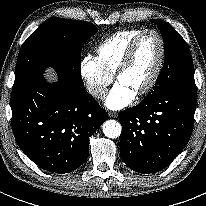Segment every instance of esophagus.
I'll use <instances>...</instances> for the list:
<instances>
[{
    "label": "esophagus",
    "mask_w": 206,
    "mask_h": 206,
    "mask_svg": "<svg viewBox=\"0 0 206 206\" xmlns=\"http://www.w3.org/2000/svg\"><path fill=\"white\" fill-rule=\"evenodd\" d=\"M108 115H109V117H111V118H116V117L118 116V113H117V112H112V111H110V112L108 113Z\"/></svg>",
    "instance_id": "1"
}]
</instances>
